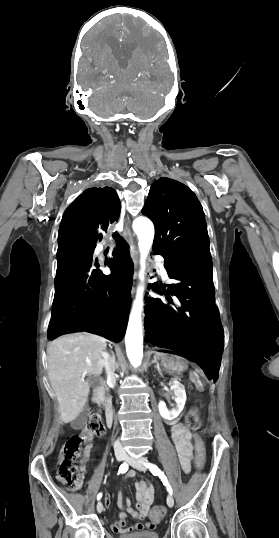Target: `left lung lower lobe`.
<instances>
[{"label":"left lung lower lobe","mask_w":279,"mask_h":538,"mask_svg":"<svg viewBox=\"0 0 279 538\" xmlns=\"http://www.w3.org/2000/svg\"><path fill=\"white\" fill-rule=\"evenodd\" d=\"M164 265L169 277L179 282L167 285V290L158 283L149 286L160 294L164 291L166 301L150 299L146 304V340L195 359L212 380L220 369L224 340L215 306L212 263L184 264L165 258Z\"/></svg>","instance_id":"left-lung-lower-lobe-1"}]
</instances>
